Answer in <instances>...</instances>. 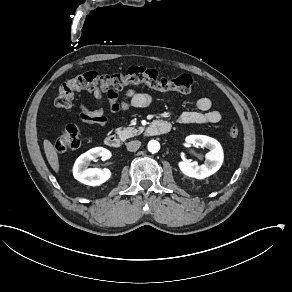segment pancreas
<instances>
[{
	"mask_svg": "<svg viewBox=\"0 0 292 292\" xmlns=\"http://www.w3.org/2000/svg\"><path fill=\"white\" fill-rule=\"evenodd\" d=\"M143 128L138 131L134 127H127V128H118L116 129V133L118 134L121 140H125L127 138L133 137L141 133Z\"/></svg>",
	"mask_w": 292,
	"mask_h": 292,
	"instance_id": "cf45deb5",
	"label": "pancreas"
}]
</instances>
